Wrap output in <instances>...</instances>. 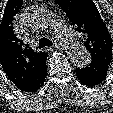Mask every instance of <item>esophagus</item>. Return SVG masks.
I'll use <instances>...</instances> for the list:
<instances>
[{"label":"esophagus","mask_w":113,"mask_h":113,"mask_svg":"<svg viewBox=\"0 0 113 113\" xmlns=\"http://www.w3.org/2000/svg\"><path fill=\"white\" fill-rule=\"evenodd\" d=\"M54 47H55V48H58V49H63V48H64V45L62 44L61 41L55 40Z\"/></svg>","instance_id":"esophagus-1"}]
</instances>
